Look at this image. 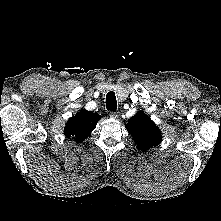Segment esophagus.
<instances>
[{
	"mask_svg": "<svg viewBox=\"0 0 221 221\" xmlns=\"http://www.w3.org/2000/svg\"><path fill=\"white\" fill-rule=\"evenodd\" d=\"M110 117L112 119H117L119 117V112H110Z\"/></svg>",
	"mask_w": 221,
	"mask_h": 221,
	"instance_id": "obj_1",
	"label": "esophagus"
}]
</instances>
